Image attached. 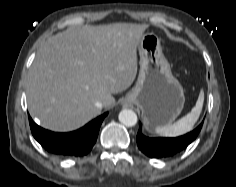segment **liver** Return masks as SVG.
Here are the masks:
<instances>
[{"instance_id": "6515ba94", "label": "liver", "mask_w": 236, "mask_h": 187, "mask_svg": "<svg viewBox=\"0 0 236 187\" xmlns=\"http://www.w3.org/2000/svg\"><path fill=\"white\" fill-rule=\"evenodd\" d=\"M147 28L85 25L48 38L27 75L30 115L43 128L68 132L101 113L96 102L112 108V94L129 88L136 77V49Z\"/></svg>"}]
</instances>
